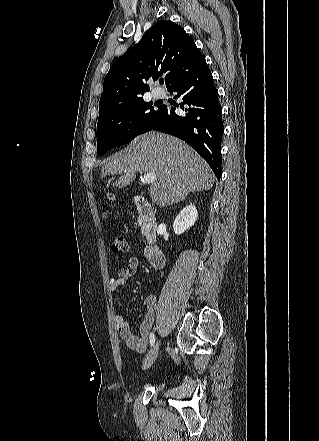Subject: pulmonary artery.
I'll list each match as a JSON object with an SVG mask.
<instances>
[{
	"mask_svg": "<svg viewBox=\"0 0 319 441\" xmlns=\"http://www.w3.org/2000/svg\"><path fill=\"white\" fill-rule=\"evenodd\" d=\"M152 95L154 98L158 99L163 96V93L160 90H153Z\"/></svg>",
	"mask_w": 319,
	"mask_h": 441,
	"instance_id": "1",
	"label": "pulmonary artery"
}]
</instances>
